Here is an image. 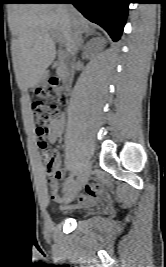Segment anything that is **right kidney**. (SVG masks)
Instances as JSON below:
<instances>
[{"instance_id": "ca27d5eb", "label": "right kidney", "mask_w": 166, "mask_h": 267, "mask_svg": "<svg viewBox=\"0 0 166 267\" xmlns=\"http://www.w3.org/2000/svg\"><path fill=\"white\" fill-rule=\"evenodd\" d=\"M103 42H104L103 38L99 37V38L94 39L87 49V56L93 55V53L99 48V46Z\"/></svg>"}]
</instances>
